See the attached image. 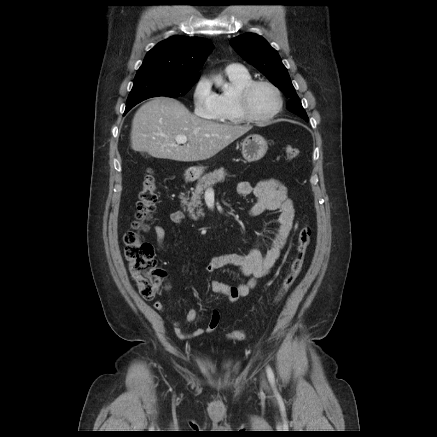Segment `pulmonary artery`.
Instances as JSON below:
<instances>
[{"label":"pulmonary artery","mask_w":437,"mask_h":437,"mask_svg":"<svg viewBox=\"0 0 437 437\" xmlns=\"http://www.w3.org/2000/svg\"><path fill=\"white\" fill-rule=\"evenodd\" d=\"M239 67H241V66L238 64H231L227 68H239Z\"/></svg>","instance_id":"obj_1"}]
</instances>
